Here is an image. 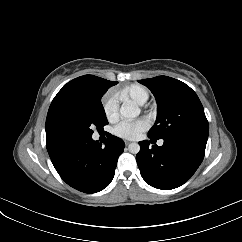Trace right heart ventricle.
Returning <instances> with one entry per match:
<instances>
[{"label": "right heart ventricle", "mask_w": 242, "mask_h": 242, "mask_svg": "<svg viewBox=\"0 0 242 242\" xmlns=\"http://www.w3.org/2000/svg\"><path fill=\"white\" fill-rule=\"evenodd\" d=\"M119 97L129 100L137 105H144L149 99V92L141 85L133 84L119 92Z\"/></svg>", "instance_id": "right-heart-ventricle-1"}]
</instances>
